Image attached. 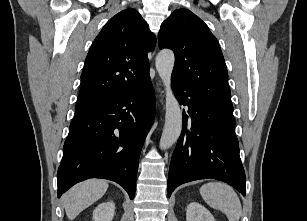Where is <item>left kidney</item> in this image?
<instances>
[{
	"instance_id": "left-kidney-1",
	"label": "left kidney",
	"mask_w": 307,
	"mask_h": 221,
	"mask_svg": "<svg viewBox=\"0 0 307 221\" xmlns=\"http://www.w3.org/2000/svg\"><path fill=\"white\" fill-rule=\"evenodd\" d=\"M186 221H215L212 214L198 202H191L186 209Z\"/></svg>"
}]
</instances>
